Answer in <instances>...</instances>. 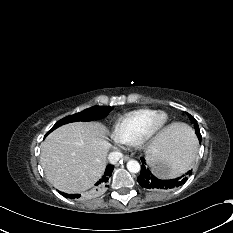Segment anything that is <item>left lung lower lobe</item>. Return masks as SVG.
I'll return each mask as SVG.
<instances>
[{"mask_svg": "<svg viewBox=\"0 0 233 233\" xmlns=\"http://www.w3.org/2000/svg\"><path fill=\"white\" fill-rule=\"evenodd\" d=\"M199 141L201 142V139H199ZM141 161V173L137 181L143 188L155 191L170 190L183 185L187 181V177L184 175L176 179H158L152 174L149 168L145 166V159L141 158ZM191 171L192 170L188 171L187 175H191Z\"/></svg>", "mask_w": 233, "mask_h": 233, "instance_id": "0a47b994", "label": "left lung lower lobe"}]
</instances>
